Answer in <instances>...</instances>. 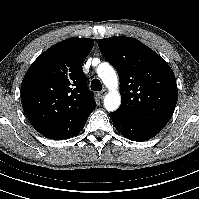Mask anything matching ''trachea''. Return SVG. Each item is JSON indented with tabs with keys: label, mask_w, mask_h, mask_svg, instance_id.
Here are the masks:
<instances>
[{
	"label": "trachea",
	"mask_w": 199,
	"mask_h": 199,
	"mask_svg": "<svg viewBox=\"0 0 199 199\" xmlns=\"http://www.w3.org/2000/svg\"><path fill=\"white\" fill-rule=\"evenodd\" d=\"M91 89L94 91H101L102 90V84L99 79H93L91 82Z\"/></svg>",
	"instance_id": "3493384b"
}]
</instances>
